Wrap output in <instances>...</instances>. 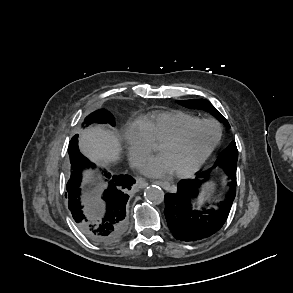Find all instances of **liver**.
Instances as JSON below:
<instances>
[{
  "label": "liver",
  "instance_id": "obj_1",
  "mask_svg": "<svg viewBox=\"0 0 293 293\" xmlns=\"http://www.w3.org/2000/svg\"><path fill=\"white\" fill-rule=\"evenodd\" d=\"M79 148L83 155L97 164H108L119 158L120 142L114 132L100 126L86 129L80 134ZM94 176L85 173V181L91 182Z\"/></svg>",
  "mask_w": 293,
  "mask_h": 293
}]
</instances>
